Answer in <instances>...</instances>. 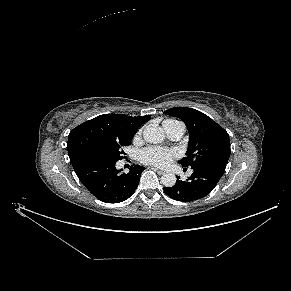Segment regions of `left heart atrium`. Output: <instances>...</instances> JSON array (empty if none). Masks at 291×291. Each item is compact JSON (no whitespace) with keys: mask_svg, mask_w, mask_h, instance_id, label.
<instances>
[{"mask_svg":"<svg viewBox=\"0 0 291 291\" xmlns=\"http://www.w3.org/2000/svg\"><path fill=\"white\" fill-rule=\"evenodd\" d=\"M173 157V151L158 147L145 148L139 155V158L143 163L161 167L168 165Z\"/></svg>","mask_w":291,"mask_h":291,"instance_id":"left-heart-atrium-1","label":"left heart atrium"}]
</instances>
